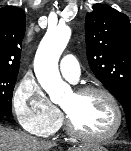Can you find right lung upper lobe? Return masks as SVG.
Returning <instances> with one entry per match:
<instances>
[{"label":"right lung upper lobe","mask_w":131,"mask_h":151,"mask_svg":"<svg viewBox=\"0 0 131 151\" xmlns=\"http://www.w3.org/2000/svg\"><path fill=\"white\" fill-rule=\"evenodd\" d=\"M24 33L23 9L14 6L0 9V70H19Z\"/></svg>","instance_id":"obj_1"}]
</instances>
